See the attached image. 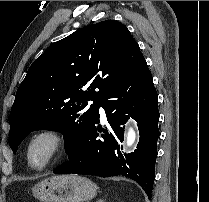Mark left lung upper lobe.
Listing matches in <instances>:
<instances>
[{
    "label": "left lung upper lobe",
    "instance_id": "left-lung-upper-lobe-1",
    "mask_svg": "<svg viewBox=\"0 0 209 202\" xmlns=\"http://www.w3.org/2000/svg\"><path fill=\"white\" fill-rule=\"evenodd\" d=\"M145 62L127 27L114 20L85 26L52 44L16 92L9 118L13 153L28 134L42 129L61 132L68 153L88 131L99 101ZM90 100L94 104L84 112Z\"/></svg>",
    "mask_w": 209,
    "mask_h": 202
}]
</instances>
